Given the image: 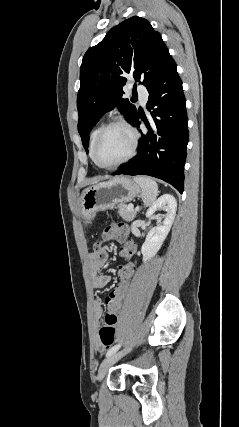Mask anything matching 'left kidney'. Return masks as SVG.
Listing matches in <instances>:
<instances>
[{"instance_id":"1","label":"left kidney","mask_w":239,"mask_h":427,"mask_svg":"<svg viewBox=\"0 0 239 427\" xmlns=\"http://www.w3.org/2000/svg\"><path fill=\"white\" fill-rule=\"evenodd\" d=\"M176 209V199L170 194H164L147 210V218H151L158 210L166 211V215L164 216V220L152 228L146 236V240L141 248L144 262L153 258L161 248L173 224Z\"/></svg>"}]
</instances>
